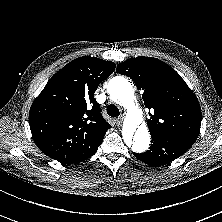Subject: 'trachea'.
<instances>
[{
  "label": "trachea",
  "instance_id": "trachea-1",
  "mask_svg": "<svg viewBox=\"0 0 222 222\" xmlns=\"http://www.w3.org/2000/svg\"><path fill=\"white\" fill-rule=\"evenodd\" d=\"M106 111H107V114L111 117H117L120 114L119 109L115 105H112V104L107 106Z\"/></svg>",
  "mask_w": 222,
  "mask_h": 222
}]
</instances>
